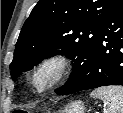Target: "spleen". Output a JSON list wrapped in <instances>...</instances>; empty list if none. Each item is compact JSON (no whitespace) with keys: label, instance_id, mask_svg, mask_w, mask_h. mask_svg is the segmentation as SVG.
Here are the masks:
<instances>
[{"label":"spleen","instance_id":"spleen-1","mask_svg":"<svg viewBox=\"0 0 123 113\" xmlns=\"http://www.w3.org/2000/svg\"><path fill=\"white\" fill-rule=\"evenodd\" d=\"M107 104V113H123V87L106 86L95 89L90 94Z\"/></svg>","mask_w":123,"mask_h":113}]
</instances>
